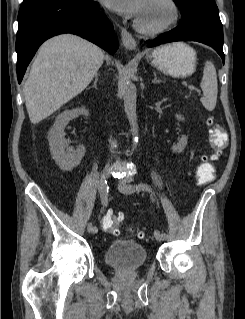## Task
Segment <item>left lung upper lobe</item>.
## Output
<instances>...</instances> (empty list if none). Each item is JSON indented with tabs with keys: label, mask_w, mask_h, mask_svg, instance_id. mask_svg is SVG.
Listing matches in <instances>:
<instances>
[{
	"label": "left lung upper lobe",
	"mask_w": 245,
	"mask_h": 319,
	"mask_svg": "<svg viewBox=\"0 0 245 319\" xmlns=\"http://www.w3.org/2000/svg\"><path fill=\"white\" fill-rule=\"evenodd\" d=\"M181 10L182 22L204 20L222 28L214 0H173Z\"/></svg>",
	"instance_id": "1"
}]
</instances>
